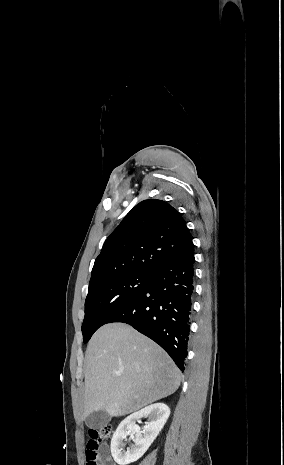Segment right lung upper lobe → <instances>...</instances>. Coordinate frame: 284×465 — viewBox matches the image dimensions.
Returning a JSON list of instances; mask_svg holds the SVG:
<instances>
[{
    "label": "right lung upper lobe",
    "instance_id": "obj_1",
    "mask_svg": "<svg viewBox=\"0 0 284 465\" xmlns=\"http://www.w3.org/2000/svg\"><path fill=\"white\" fill-rule=\"evenodd\" d=\"M193 245L181 214L157 199L137 204L106 239L89 287L126 274L154 275Z\"/></svg>",
    "mask_w": 284,
    "mask_h": 465
}]
</instances>
